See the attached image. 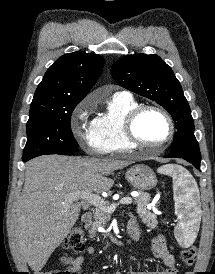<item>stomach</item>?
Masks as SVG:
<instances>
[{
	"label": "stomach",
	"mask_w": 215,
	"mask_h": 274,
	"mask_svg": "<svg viewBox=\"0 0 215 274\" xmlns=\"http://www.w3.org/2000/svg\"><path fill=\"white\" fill-rule=\"evenodd\" d=\"M126 180L139 191L153 189L157 185V177L152 169L144 164L131 166L125 174Z\"/></svg>",
	"instance_id": "0dacf381"
}]
</instances>
